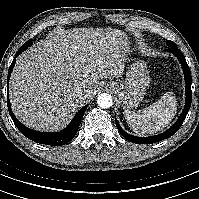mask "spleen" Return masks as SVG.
I'll return each mask as SVG.
<instances>
[{"instance_id": "3e777b00", "label": "spleen", "mask_w": 199, "mask_h": 199, "mask_svg": "<svg viewBox=\"0 0 199 199\" xmlns=\"http://www.w3.org/2000/svg\"><path fill=\"white\" fill-rule=\"evenodd\" d=\"M177 101L172 92L137 112L125 110L124 115L130 128L139 135H153L164 129L176 113Z\"/></svg>"}]
</instances>
